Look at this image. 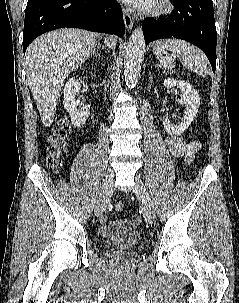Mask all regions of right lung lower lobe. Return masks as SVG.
<instances>
[{
  "label": "right lung lower lobe",
  "instance_id": "right-lung-lower-lobe-1",
  "mask_svg": "<svg viewBox=\"0 0 239 303\" xmlns=\"http://www.w3.org/2000/svg\"><path fill=\"white\" fill-rule=\"evenodd\" d=\"M62 27L123 36L122 9L115 0H28L23 50L39 35Z\"/></svg>",
  "mask_w": 239,
  "mask_h": 303
}]
</instances>
